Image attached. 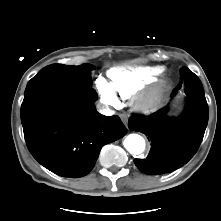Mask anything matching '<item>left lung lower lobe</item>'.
Segmentation results:
<instances>
[{"mask_svg":"<svg viewBox=\"0 0 221 221\" xmlns=\"http://www.w3.org/2000/svg\"><path fill=\"white\" fill-rule=\"evenodd\" d=\"M181 80L173 94L185 84L187 99L183 114L166 117L167 108L149 116H132L129 128L151 140L146 159H135L138 169L149 175L164 174L186 164L198 150L208 123V105L200 79L187 67L180 69Z\"/></svg>","mask_w":221,"mask_h":221,"instance_id":"1","label":"left lung lower lobe"}]
</instances>
